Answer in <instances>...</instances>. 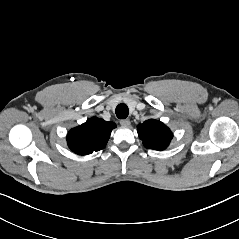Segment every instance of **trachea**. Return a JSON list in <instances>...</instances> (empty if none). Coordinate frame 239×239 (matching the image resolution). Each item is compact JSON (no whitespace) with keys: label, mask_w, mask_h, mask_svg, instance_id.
Instances as JSON below:
<instances>
[{"label":"trachea","mask_w":239,"mask_h":239,"mask_svg":"<svg viewBox=\"0 0 239 239\" xmlns=\"http://www.w3.org/2000/svg\"><path fill=\"white\" fill-rule=\"evenodd\" d=\"M116 116L119 119H126L128 114H129V110L126 104L124 103H120L115 110Z\"/></svg>","instance_id":"3493384b"}]
</instances>
